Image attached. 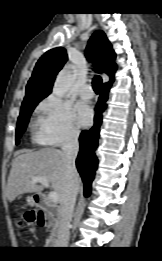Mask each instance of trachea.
Segmentation results:
<instances>
[{
	"mask_svg": "<svg viewBox=\"0 0 162 261\" xmlns=\"http://www.w3.org/2000/svg\"><path fill=\"white\" fill-rule=\"evenodd\" d=\"M93 89L96 93L100 92L101 85H102V79L99 76H95L92 81Z\"/></svg>",
	"mask_w": 162,
	"mask_h": 261,
	"instance_id": "obj_1",
	"label": "trachea"
}]
</instances>
